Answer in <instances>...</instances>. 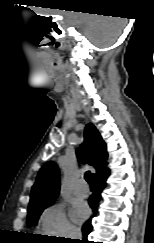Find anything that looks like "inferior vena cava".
Masks as SVG:
<instances>
[{"label":"inferior vena cava","mask_w":154,"mask_h":243,"mask_svg":"<svg viewBox=\"0 0 154 243\" xmlns=\"http://www.w3.org/2000/svg\"><path fill=\"white\" fill-rule=\"evenodd\" d=\"M68 235L70 236L71 239L81 240V237H82L81 232L78 229H71L68 232Z\"/></svg>","instance_id":"602c4592"}]
</instances>
